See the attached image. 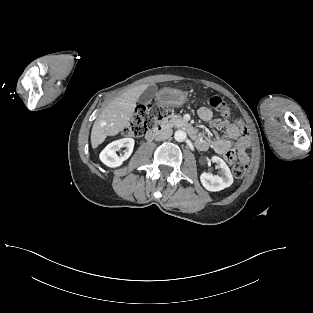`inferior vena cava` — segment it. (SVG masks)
<instances>
[{
	"label": "inferior vena cava",
	"mask_w": 313,
	"mask_h": 313,
	"mask_svg": "<svg viewBox=\"0 0 313 313\" xmlns=\"http://www.w3.org/2000/svg\"><path fill=\"white\" fill-rule=\"evenodd\" d=\"M171 135H172V130H171V129H166V130H163V131L156 137V140H157V141L166 140V139H168Z\"/></svg>",
	"instance_id": "1"
}]
</instances>
